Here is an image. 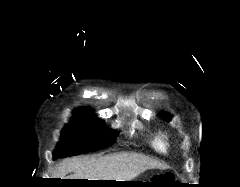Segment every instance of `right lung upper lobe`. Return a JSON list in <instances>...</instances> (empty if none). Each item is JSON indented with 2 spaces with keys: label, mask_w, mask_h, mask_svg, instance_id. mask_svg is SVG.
<instances>
[{
  "label": "right lung upper lobe",
  "mask_w": 240,
  "mask_h": 187,
  "mask_svg": "<svg viewBox=\"0 0 240 187\" xmlns=\"http://www.w3.org/2000/svg\"><path fill=\"white\" fill-rule=\"evenodd\" d=\"M75 112H87V113H93L90 109L88 108H79Z\"/></svg>",
  "instance_id": "right-lung-upper-lobe-1"
}]
</instances>
